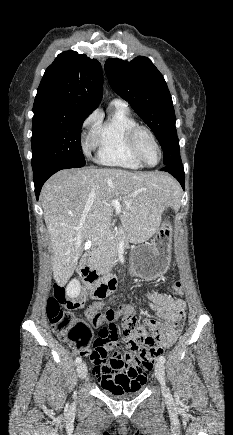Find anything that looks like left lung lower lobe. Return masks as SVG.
Wrapping results in <instances>:
<instances>
[{
	"instance_id": "1",
	"label": "left lung lower lobe",
	"mask_w": 233,
	"mask_h": 435,
	"mask_svg": "<svg viewBox=\"0 0 233 435\" xmlns=\"http://www.w3.org/2000/svg\"><path fill=\"white\" fill-rule=\"evenodd\" d=\"M162 171H166L173 175L181 184L184 189V169L181 161L168 165L161 169Z\"/></svg>"
}]
</instances>
